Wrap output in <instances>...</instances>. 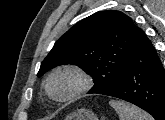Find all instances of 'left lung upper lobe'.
I'll return each instance as SVG.
<instances>
[{"label":"left lung upper lobe","mask_w":165,"mask_h":120,"mask_svg":"<svg viewBox=\"0 0 165 120\" xmlns=\"http://www.w3.org/2000/svg\"><path fill=\"white\" fill-rule=\"evenodd\" d=\"M143 36L121 11L94 13L55 42L37 76L58 65L75 64L93 78L89 93L107 95L120 85L127 59Z\"/></svg>","instance_id":"obj_1"}]
</instances>
